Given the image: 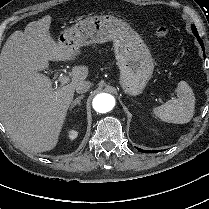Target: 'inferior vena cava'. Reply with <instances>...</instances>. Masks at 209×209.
I'll list each match as a JSON object with an SVG mask.
<instances>
[{
    "instance_id": "602c4592",
    "label": "inferior vena cava",
    "mask_w": 209,
    "mask_h": 209,
    "mask_svg": "<svg viewBox=\"0 0 209 209\" xmlns=\"http://www.w3.org/2000/svg\"><path fill=\"white\" fill-rule=\"evenodd\" d=\"M90 87H91L90 81H80L76 85L75 89L77 93H85L90 89Z\"/></svg>"
}]
</instances>
